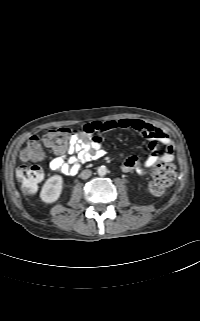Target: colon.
Returning a JSON list of instances; mask_svg holds the SVG:
<instances>
[{"instance_id": "colon-1", "label": "colon", "mask_w": 200, "mask_h": 321, "mask_svg": "<svg viewBox=\"0 0 200 321\" xmlns=\"http://www.w3.org/2000/svg\"><path fill=\"white\" fill-rule=\"evenodd\" d=\"M71 130L67 128H57L48 131L44 137V143L57 150L66 148ZM43 155L41 140L37 136H32L21 151V158L25 161L37 162ZM173 156L163 159L155 168L152 179L148 183L147 190L154 196L162 195L174 182L176 177V168L172 163ZM23 191L27 194H33L37 191L38 185L43 179V171L36 164H27L20 166L16 171Z\"/></svg>"}]
</instances>
